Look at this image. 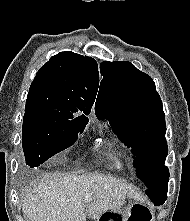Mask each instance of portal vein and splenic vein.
<instances>
[{"label":"portal vein and splenic vein","instance_id":"obj_1","mask_svg":"<svg viewBox=\"0 0 190 221\" xmlns=\"http://www.w3.org/2000/svg\"><path fill=\"white\" fill-rule=\"evenodd\" d=\"M90 198H91V195H88V196L86 197L87 200H89Z\"/></svg>","mask_w":190,"mask_h":221}]
</instances>
